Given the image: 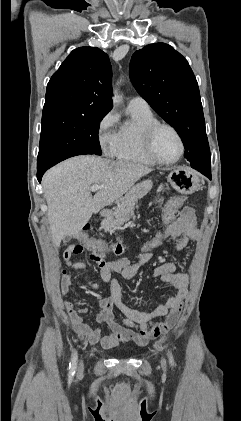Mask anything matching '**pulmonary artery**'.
I'll return each mask as SVG.
<instances>
[{"label": "pulmonary artery", "instance_id": "e3ab8cb5", "mask_svg": "<svg viewBox=\"0 0 241 421\" xmlns=\"http://www.w3.org/2000/svg\"><path fill=\"white\" fill-rule=\"evenodd\" d=\"M128 108L150 109L149 104L142 97L135 96L128 101Z\"/></svg>", "mask_w": 241, "mask_h": 421}]
</instances>
